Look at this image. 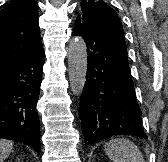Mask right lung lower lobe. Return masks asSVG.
I'll return each mask as SVG.
<instances>
[{
  "label": "right lung lower lobe",
  "mask_w": 168,
  "mask_h": 162,
  "mask_svg": "<svg viewBox=\"0 0 168 162\" xmlns=\"http://www.w3.org/2000/svg\"><path fill=\"white\" fill-rule=\"evenodd\" d=\"M44 50L0 69V138L16 140L40 153L36 104L42 81Z\"/></svg>",
  "instance_id": "obj_1"
}]
</instances>
